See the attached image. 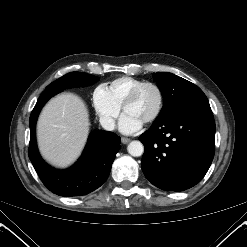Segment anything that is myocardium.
I'll list each match as a JSON object with an SVG mask.
<instances>
[{"mask_svg":"<svg viewBox=\"0 0 247 247\" xmlns=\"http://www.w3.org/2000/svg\"><path fill=\"white\" fill-rule=\"evenodd\" d=\"M146 87H152L153 89H155L158 95V104H157V108L155 112L144 122L146 124H150L159 118V116L162 113L163 107H164V93H163L162 88L157 83L146 81L136 86L130 92L127 98L124 100L122 104V110L125 111L126 107L130 105L131 103H133L138 98L142 90Z\"/></svg>","mask_w":247,"mask_h":247,"instance_id":"1","label":"myocardium"}]
</instances>
